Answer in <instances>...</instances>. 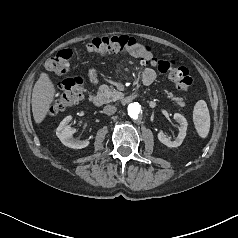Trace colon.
I'll use <instances>...</instances> for the list:
<instances>
[{"mask_svg":"<svg viewBox=\"0 0 238 238\" xmlns=\"http://www.w3.org/2000/svg\"><path fill=\"white\" fill-rule=\"evenodd\" d=\"M85 50L89 54L98 55L140 51L141 60L145 63L149 62L159 72L167 74L168 78L180 91L188 93L194 82L189 70L185 66L178 65L172 58L155 54L150 46L141 44L130 36L96 37L85 45ZM72 55L71 49H63L50 57L46 61L45 67L55 74H67L71 69ZM84 95L83 77L80 75L69 77L62 82L60 90L49 107V112L51 114H58L77 104L84 98Z\"/></svg>","mask_w":238,"mask_h":238,"instance_id":"5ec220e1","label":"colon"}]
</instances>
